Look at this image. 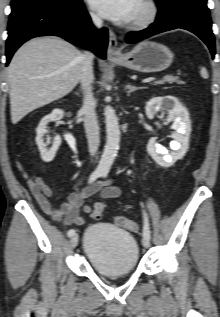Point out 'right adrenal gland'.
Listing matches in <instances>:
<instances>
[{
    "label": "right adrenal gland",
    "instance_id": "right-adrenal-gland-1",
    "mask_svg": "<svg viewBox=\"0 0 220 317\" xmlns=\"http://www.w3.org/2000/svg\"><path fill=\"white\" fill-rule=\"evenodd\" d=\"M76 95L80 96L79 92H75Z\"/></svg>",
    "mask_w": 220,
    "mask_h": 317
}]
</instances>
